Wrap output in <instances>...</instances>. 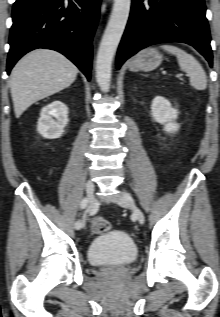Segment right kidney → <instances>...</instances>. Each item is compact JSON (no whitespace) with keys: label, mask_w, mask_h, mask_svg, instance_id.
<instances>
[{"label":"right kidney","mask_w":220,"mask_h":317,"mask_svg":"<svg viewBox=\"0 0 220 317\" xmlns=\"http://www.w3.org/2000/svg\"><path fill=\"white\" fill-rule=\"evenodd\" d=\"M67 123L68 107L61 101H53L42 108L37 131L44 138L56 139L62 136Z\"/></svg>","instance_id":"obj_1"}]
</instances>
